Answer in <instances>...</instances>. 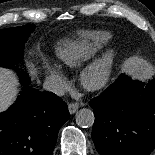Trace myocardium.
Returning <instances> with one entry per match:
<instances>
[{
    "mask_svg": "<svg viewBox=\"0 0 155 155\" xmlns=\"http://www.w3.org/2000/svg\"><path fill=\"white\" fill-rule=\"evenodd\" d=\"M117 57V50L110 48L87 65L80 73L82 86L94 91L102 88L109 80Z\"/></svg>",
    "mask_w": 155,
    "mask_h": 155,
    "instance_id": "1",
    "label": "myocardium"
}]
</instances>
